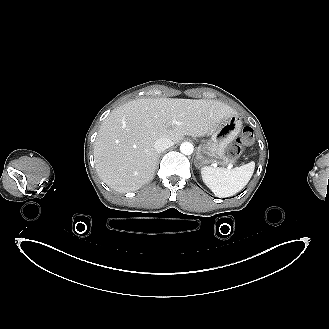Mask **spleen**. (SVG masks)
Here are the masks:
<instances>
[{
	"mask_svg": "<svg viewBox=\"0 0 329 329\" xmlns=\"http://www.w3.org/2000/svg\"><path fill=\"white\" fill-rule=\"evenodd\" d=\"M255 162L228 168L205 166L201 169L203 182L217 197H230L241 191L250 181Z\"/></svg>",
	"mask_w": 329,
	"mask_h": 329,
	"instance_id": "3e777b00",
	"label": "spleen"
}]
</instances>
